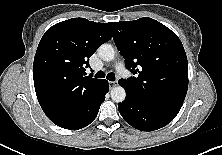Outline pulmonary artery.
<instances>
[{
	"instance_id": "pulmonary-artery-1",
	"label": "pulmonary artery",
	"mask_w": 222,
	"mask_h": 155,
	"mask_svg": "<svg viewBox=\"0 0 222 155\" xmlns=\"http://www.w3.org/2000/svg\"><path fill=\"white\" fill-rule=\"evenodd\" d=\"M117 70L121 75H126V70L122 63L117 64Z\"/></svg>"
}]
</instances>
